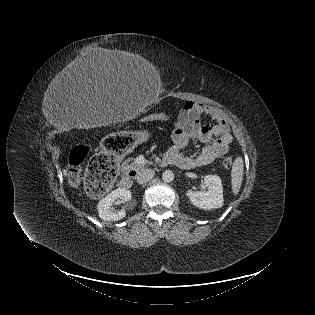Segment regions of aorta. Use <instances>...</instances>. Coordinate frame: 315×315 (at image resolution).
Returning <instances> with one entry per match:
<instances>
[{
  "label": "aorta",
  "mask_w": 315,
  "mask_h": 315,
  "mask_svg": "<svg viewBox=\"0 0 315 315\" xmlns=\"http://www.w3.org/2000/svg\"><path fill=\"white\" fill-rule=\"evenodd\" d=\"M162 179L165 182H172L174 180V173L171 170H166L162 174Z\"/></svg>",
  "instance_id": "1"
}]
</instances>
